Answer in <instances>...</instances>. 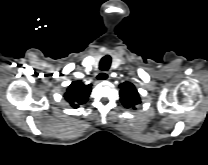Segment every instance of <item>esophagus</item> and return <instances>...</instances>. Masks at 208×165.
<instances>
[{"label": "esophagus", "mask_w": 208, "mask_h": 165, "mask_svg": "<svg viewBox=\"0 0 208 165\" xmlns=\"http://www.w3.org/2000/svg\"><path fill=\"white\" fill-rule=\"evenodd\" d=\"M99 78L101 80H109L110 79V74H109V72H101L99 74Z\"/></svg>", "instance_id": "1"}]
</instances>
